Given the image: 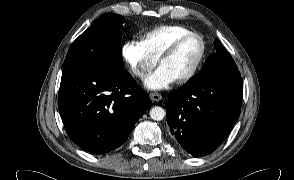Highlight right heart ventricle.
Wrapping results in <instances>:
<instances>
[{"instance_id": "right-heart-ventricle-1", "label": "right heart ventricle", "mask_w": 294, "mask_h": 180, "mask_svg": "<svg viewBox=\"0 0 294 180\" xmlns=\"http://www.w3.org/2000/svg\"><path fill=\"white\" fill-rule=\"evenodd\" d=\"M190 31L182 25H162L142 31L139 38L144 49L158 59L177 37Z\"/></svg>"}]
</instances>
